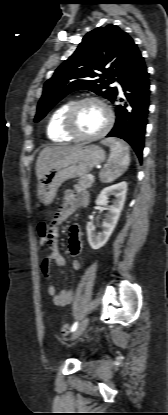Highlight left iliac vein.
Returning <instances> with one entry per match:
<instances>
[{"mask_svg": "<svg viewBox=\"0 0 168 415\" xmlns=\"http://www.w3.org/2000/svg\"><path fill=\"white\" fill-rule=\"evenodd\" d=\"M89 323V318L86 317L84 318L81 323L78 325L77 329L74 331L73 335H72V340L77 339L79 336L82 335V333L85 331V329L87 328Z\"/></svg>", "mask_w": 168, "mask_h": 415, "instance_id": "4c4485c4", "label": "left iliac vein"}]
</instances>
